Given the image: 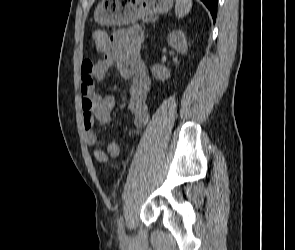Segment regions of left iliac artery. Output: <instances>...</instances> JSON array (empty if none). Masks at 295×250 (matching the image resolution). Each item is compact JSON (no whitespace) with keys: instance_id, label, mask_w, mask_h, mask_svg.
I'll use <instances>...</instances> for the list:
<instances>
[{"instance_id":"44dca946","label":"left iliac artery","mask_w":295,"mask_h":250,"mask_svg":"<svg viewBox=\"0 0 295 250\" xmlns=\"http://www.w3.org/2000/svg\"><path fill=\"white\" fill-rule=\"evenodd\" d=\"M123 224H124L123 216H120V218L118 219V222H117L119 237L124 235Z\"/></svg>"}]
</instances>
